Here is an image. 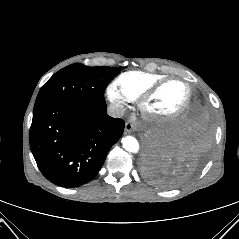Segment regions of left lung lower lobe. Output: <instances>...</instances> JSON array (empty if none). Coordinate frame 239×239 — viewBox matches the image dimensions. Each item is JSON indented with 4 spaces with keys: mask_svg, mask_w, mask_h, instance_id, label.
I'll return each mask as SVG.
<instances>
[{
    "mask_svg": "<svg viewBox=\"0 0 239 239\" xmlns=\"http://www.w3.org/2000/svg\"><path fill=\"white\" fill-rule=\"evenodd\" d=\"M211 137L207 110L195 103L171 129L147 143L144 176L165 188L184 183L203 165Z\"/></svg>",
    "mask_w": 239,
    "mask_h": 239,
    "instance_id": "obj_1",
    "label": "left lung lower lobe"
}]
</instances>
